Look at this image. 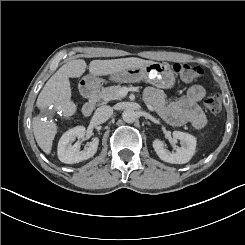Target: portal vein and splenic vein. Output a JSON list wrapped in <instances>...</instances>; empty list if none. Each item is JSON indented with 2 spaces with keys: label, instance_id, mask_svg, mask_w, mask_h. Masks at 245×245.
Returning <instances> with one entry per match:
<instances>
[{
  "label": "portal vein and splenic vein",
  "instance_id": "18ae733b",
  "mask_svg": "<svg viewBox=\"0 0 245 245\" xmlns=\"http://www.w3.org/2000/svg\"><path fill=\"white\" fill-rule=\"evenodd\" d=\"M121 94V93H120ZM127 94V91L126 92H124L123 94H121L122 96H125Z\"/></svg>",
  "mask_w": 245,
  "mask_h": 245
}]
</instances>
